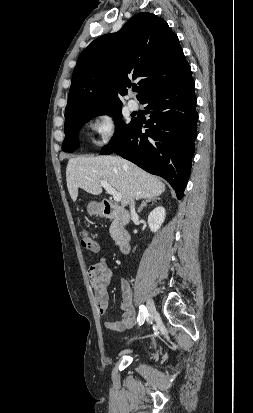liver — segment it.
Here are the masks:
<instances>
[{"label": "liver", "mask_w": 253, "mask_h": 413, "mask_svg": "<svg viewBox=\"0 0 253 413\" xmlns=\"http://www.w3.org/2000/svg\"><path fill=\"white\" fill-rule=\"evenodd\" d=\"M66 181L73 202L77 200L79 188L93 195L101 194V181L122 195L123 207L133 199L156 198L165 191V184L157 177L118 156L71 158L66 168Z\"/></svg>", "instance_id": "liver-1"}]
</instances>
